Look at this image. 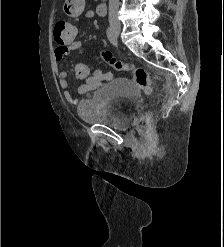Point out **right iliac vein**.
<instances>
[{"mask_svg":"<svg viewBox=\"0 0 224 247\" xmlns=\"http://www.w3.org/2000/svg\"><path fill=\"white\" fill-rule=\"evenodd\" d=\"M111 28L113 29V31L115 32L116 35H119L120 31H121V27L118 24H112Z\"/></svg>","mask_w":224,"mask_h":247,"instance_id":"right-iliac-vein-1","label":"right iliac vein"}]
</instances>
